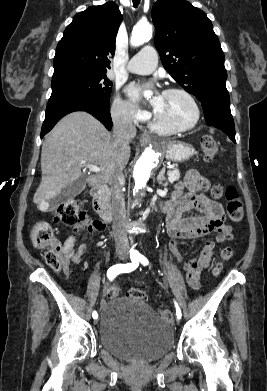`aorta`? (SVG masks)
<instances>
[{
  "label": "aorta",
  "mask_w": 267,
  "mask_h": 391,
  "mask_svg": "<svg viewBox=\"0 0 267 391\" xmlns=\"http://www.w3.org/2000/svg\"><path fill=\"white\" fill-rule=\"evenodd\" d=\"M152 37V26L149 23H138L135 25L130 38V44L134 47L144 44ZM159 154L152 147H147L135 164L133 170L134 192L141 193L150 178L152 169L158 162Z\"/></svg>",
  "instance_id": "1"
}]
</instances>
